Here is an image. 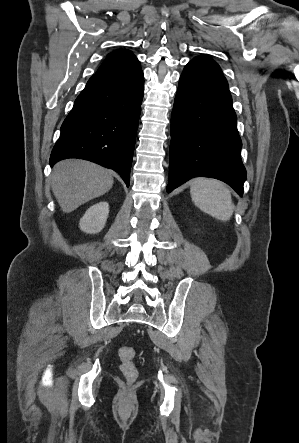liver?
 Listing matches in <instances>:
<instances>
[{
  "mask_svg": "<svg viewBox=\"0 0 299 443\" xmlns=\"http://www.w3.org/2000/svg\"><path fill=\"white\" fill-rule=\"evenodd\" d=\"M110 171L86 160L58 162L51 175V188L61 210L70 213L108 192L113 186Z\"/></svg>",
  "mask_w": 299,
  "mask_h": 443,
  "instance_id": "liver-1",
  "label": "liver"
}]
</instances>
